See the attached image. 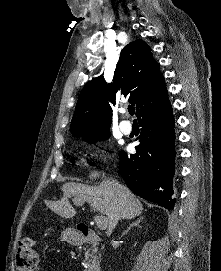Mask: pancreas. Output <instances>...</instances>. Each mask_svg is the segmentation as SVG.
Listing matches in <instances>:
<instances>
[{
    "label": "pancreas",
    "instance_id": "1",
    "mask_svg": "<svg viewBox=\"0 0 221 271\" xmlns=\"http://www.w3.org/2000/svg\"><path fill=\"white\" fill-rule=\"evenodd\" d=\"M84 257L83 263H86V265H89V263H99L100 255H96L95 245L86 249Z\"/></svg>",
    "mask_w": 221,
    "mask_h": 271
}]
</instances>
